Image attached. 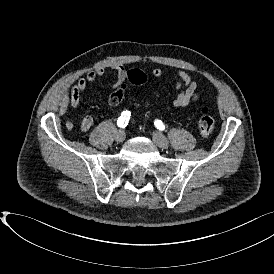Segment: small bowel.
I'll return each instance as SVG.
<instances>
[{"mask_svg": "<svg viewBox=\"0 0 274 274\" xmlns=\"http://www.w3.org/2000/svg\"><path fill=\"white\" fill-rule=\"evenodd\" d=\"M110 69L116 73V81L112 85V90H117L123 84H125L126 69L121 64H113ZM105 68H98L90 70L85 76L80 77L70 88V104L73 108H77L81 101V96L85 92L89 84H93L98 78L105 75ZM166 71L161 67H155L150 71V77L153 80H158L165 75ZM176 89L179 91L178 94L171 100L173 106L177 108H184L198 99V82L193 79L190 74L179 69L175 73ZM94 120L91 116H85L81 123L80 129L82 132H87L93 126Z\"/></svg>", "mask_w": 274, "mask_h": 274, "instance_id": "obj_1", "label": "small bowel"}]
</instances>
